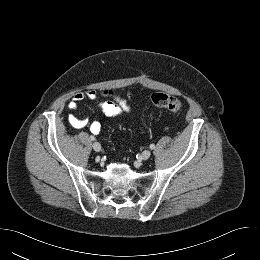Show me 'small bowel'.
Masks as SVG:
<instances>
[{
  "instance_id": "c3829d8e",
  "label": "small bowel",
  "mask_w": 260,
  "mask_h": 260,
  "mask_svg": "<svg viewBox=\"0 0 260 260\" xmlns=\"http://www.w3.org/2000/svg\"><path fill=\"white\" fill-rule=\"evenodd\" d=\"M107 98V99H103ZM91 100L99 106V108L108 116L116 117L122 113L129 112L131 105V96H123L114 90H104L98 92L96 90H87L84 92L76 93L68 102V109L72 112L78 110L79 103L83 100ZM68 123L75 129H82L88 125V121L84 118L77 117L71 113L67 116ZM89 129L93 134L98 135L101 130V124L97 121L91 122Z\"/></svg>"
}]
</instances>
